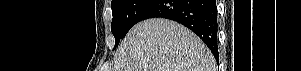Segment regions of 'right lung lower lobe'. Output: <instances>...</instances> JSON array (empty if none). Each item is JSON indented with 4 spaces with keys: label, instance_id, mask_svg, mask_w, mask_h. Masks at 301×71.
I'll return each instance as SVG.
<instances>
[{
    "label": "right lung lower lobe",
    "instance_id": "obj_1",
    "mask_svg": "<svg viewBox=\"0 0 301 71\" xmlns=\"http://www.w3.org/2000/svg\"><path fill=\"white\" fill-rule=\"evenodd\" d=\"M162 17L191 29L209 47L218 61L216 0H155L140 21Z\"/></svg>",
    "mask_w": 301,
    "mask_h": 71
}]
</instances>
